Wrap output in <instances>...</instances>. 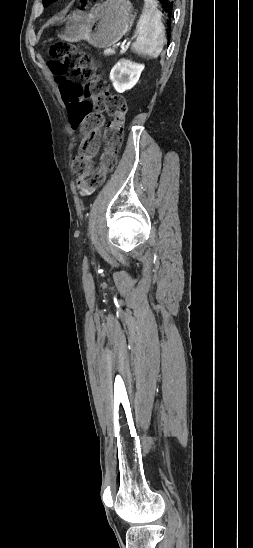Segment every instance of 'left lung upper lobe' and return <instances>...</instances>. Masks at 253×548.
I'll use <instances>...</instances> for the list:
<instances>
[{"label":"left lung upper lobe","mask_w":253,"mask_h":548,"mask_svg":"<svg viewBox=\"0 0 253 548\" xmlns=\"http://www.w3.org/2000/svg\"><path fill=\"white\" fill-rule=\"evenodd\" d=\"M54 1H56V0H43V4H44V6H47V5H49L51 2H54Z\"/></svg>","instance_id":"1"}]
</instances>
